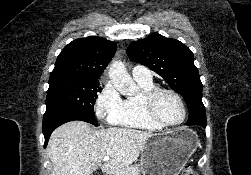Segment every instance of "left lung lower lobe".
Wrapping results in <instances>:
<instances>
[{
  "instance_id": "left-lung-lower-lobe-1",
  "label": "left lung lower lobe",
  "mask_w": 251,
  "mask_h": 175,
  "mask_svg": "<svg viewBox=\"0 0 251 175\" xmlns=\"http://www.w3.org/2000/svg\"><path fill=\"white\" fill-rule=\"evenodd\" d=\"M189 107V118L187 125H199L206 123V114L204 106L191 105Z\"/></svg>"
}]
</instances>
